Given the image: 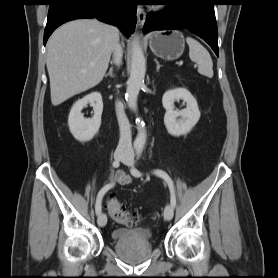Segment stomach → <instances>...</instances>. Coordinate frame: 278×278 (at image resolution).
Here are the masks:
<instances>
[{"label": "stomach", "mask_w": 278, "mask_h": 278, "mask_svg": "<svg viewBox=\"0 0 278 278\" xmlns=\"http://www.w3.org/2000/svg\"><path fill=\"white\" fill-rule=\"evenodd\" d=\"M149 46L157 57L166 60L178 59L185 48V40L180 31L157 32L150 37Z\"/></svg>", "instance_id": "0dacf381"}]
</instances>
